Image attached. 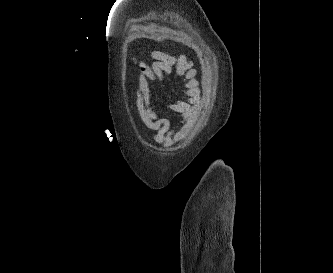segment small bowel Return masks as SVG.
<instances>
[{"label":"small bowel","instance_id":"1","mask_svg":"<svg viewBox=\"0 0 333 273\" xmlns=\"http://www.w3.org/2000/svg\"><path fill=\"white\" fill-rule=\"evenodd\" d=\"M149 55L155 60L151 66L143 61L138 64L136 106L142 126L146 130L152 131L154 141L169 146L178 134L172 132L169 121L161 118L153 108L150 84H160L165 76L173 73L174 68L175 74L183 79L188 99L173 107V110L184 119L180 128V133H183L193 117L194 109L200 104L197 73L191 68V64L185 56L169 55L161 51H151Z\"/></svg>","mask_w":333,"mask_h":273}]
</instances>
